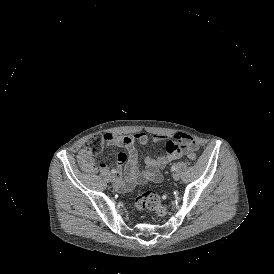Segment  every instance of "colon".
Returning a JSON list of instances; mask_svg holds the SVG:
<instances>
[{
    "mask_svg": "<svg viewBox=\"0 0 274 274\" xmlns=\"http://www.w3.org/2000/svg\"><path fill=\"white\" fill-rule=\"evenodd\" d=\"M103 147V142H101L100 135H96L91 137L86 145L85 152L88 155L94 156L101 152ZM186 158L189 161L198 162L199 156L195 155L193 152H189L186 155ZM164 197L160 196L155 191H147L142 194H139L135 197L132 210L138 211L142 209H150L155 212L158 216H162L165 214V206L163 204Z\"/></svg>",
    "mask_w": 274,
    "mask_h": 274,
    "instance_id": "colon-1",
    "label": "colon"
}]
</instances>
